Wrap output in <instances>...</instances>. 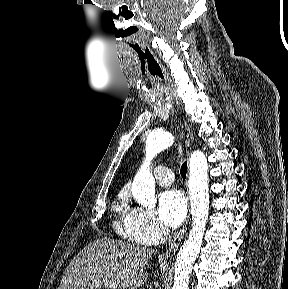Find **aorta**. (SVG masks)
Masks as SVG:
<instances>
[{
	"instance_id": "762f6f07",
	"label": "aorta",
	"mask_w": 288,
	"mask_h": 289,
	"mask_svg": "<svg viewBox=\"0 0 288 289\" xmlns=\"http://www.w3.org/2000/svg\"><path fill=\"white\" fill-rule=\"evenodd\" d=\"M173 142L174 138L168 132L155 131L149 134L146 140L145 161L132 184V194L138 204L149 208L155 207V180L150 171V163L159 152L171 146ZM189 167L192 229L177 254L172 289H189L192 266L200 252L209 216L208 163L204 153L194 151Z\"/></svg>"
}]
</instances>
